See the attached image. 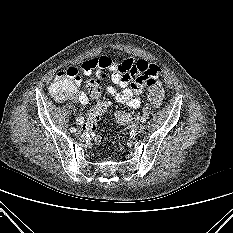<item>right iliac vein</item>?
<instances>
[{
    "instance_id": "right-iliac-vein-1",
    "label": "right iliac vein",
    "mask_w": 233,
    "mask_h": 233,
    "mask_svg": "<svg viewBox=\"0 0 233 233\" xmlns=\"http://www.w3.org/2000/svg\"><path fill=\"white\" fill-rule=\"evenodd\" d=\"M81 134H82L81 131H77V132H76V135H77V136H81Z\"/></svg>"
}]
</instances>
